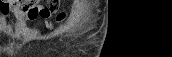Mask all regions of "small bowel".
I'll list each match as a JSON object with an SVG mask.
<instances>
[{
    "label": "small bowel",
    "mask_w": 172,
    "mask_h": 57,
    "mask_svg": "<svg viewBox=\"0 0 172 57\" xmlns=\"http://www.w3.org/2000/svg\"><path fill=\"white\" fill-rule=\"evenodd\" d=\"M38 0H27V1H17V0H7V1H0V15L6 16L8 12L11 10L14 14V17L19 20L23 21H31L35 20L38 17L47 19L49 18L54 11L47 12V13H38L36 15H29L24 12V8H30V7H37L39 9L48 8L52 6L53 8L58 7L57 1H52L51 4L47 7H38Z\"/></svg>",
    "instance_id": "obj_1"
}]
</instances>
